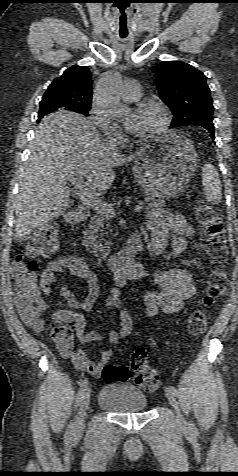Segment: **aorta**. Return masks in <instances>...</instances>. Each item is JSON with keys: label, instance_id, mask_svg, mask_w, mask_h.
<instances>
[{"label": "aorta", "instance_id": "1", "mask_svg": "<svg viewBox=\"0 0 238 476\" xmlns=\"http://www.w3.org/2000/svg\"><path fill=\"white\" fill-rule=\"evenodd\" d=\"M99 109L111 118H121L130 109L120 102V76L117 72L108 73L100 82L95 93Z\"/></svg>", "mask_w": 238, "mask_h": 476}]
</instances>
